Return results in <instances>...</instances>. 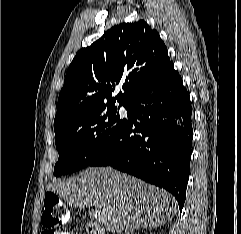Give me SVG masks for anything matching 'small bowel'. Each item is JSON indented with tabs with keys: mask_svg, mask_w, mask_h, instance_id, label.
Listing matches in <instances>:
<instances>
[{
	"mask_svg": "<svg viewBox=\"0 0 241 234\" xmlns=\"http://www.w3.org/2000/svg\"><path fill=\"white\" fill-rule=\"evenodd\" d=\"M42 234H70L66 231H61V230H44Z\"/></svg>",
	"mask_w": 241,
	"mask_h": 234,
	"instance_id": "c3829d8e",
	"label": "small bowel"
}]
</instances>
